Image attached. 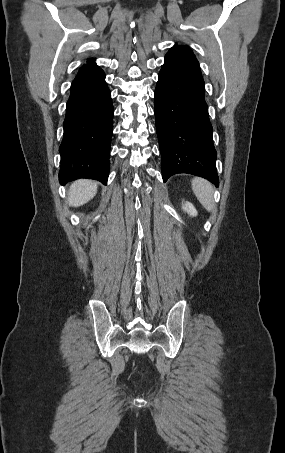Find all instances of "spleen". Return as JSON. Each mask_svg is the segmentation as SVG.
<instances>
[{
	"label": "spleen",
	"instance_id": "1",
	"mask_svg": "<svg viewBox=\"0 0 285 453\" xmlns=\"http://www.w3.org/2000/svg\"><path fill=\"white\" fill-rule=\"evenodd\" d=\"M192 190L199 202L207 211H212L214 208L213 186L210 182L203 178H194L191 181Z\"/></svg>",
	"mask_w": 285,
	"mask_h": 453
}]
</instances>
